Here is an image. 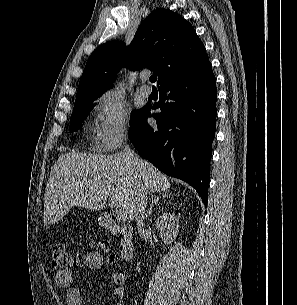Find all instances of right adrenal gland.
Returning <instances> with one entry per match:
<instances>
[{"label": "right adrenal gland", "mask_w": 297, "mask_h": 305, "mask_svg": "<svg viewBox=\"0 0 297 305\" xmlns=\"http://www.w3.org/2000/svg\"><path fill=\"white\" fill-rule=\"evenodd\" d=\"M170 196V194L168 195L167 192H163V193H159L157 195H152L151 196V204H150V208L148 209L146 215H145V219H147L153 212V208L155 205L158 204V201L161 200V199H164L166 197Z\"/></svg>", "instance_id": "obj_1"}]
</instances>
